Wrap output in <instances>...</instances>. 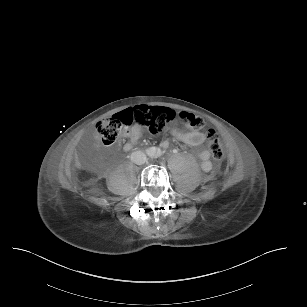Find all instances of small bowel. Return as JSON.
I'll list each match as a JSON object with an SVG mask.
<instances>
[{
    "label": "small bowel",
    "mask_w": 307,
    "mask_h": 307,
    "mask_svg": "<svg viewBox=\"0 0 307 307\" xmlns=\"http://www.w3.org/2000/svg\"><path fill=\"white\" fill-rule=\"evenodd\" d=\"M171 134L180 142L191 146H198L202 144L205 140V135L197 130L192 131H183V130H171ZM127 135L130 137V141L125 145L126 150H130L138 141L141 136V130L139 127H132L127 132ZM169 146V142H163V147L167 148ZM197 157L202 161V168L204 170H208L210 167V153L208 150H202L197 153Z\"/></svg>",
    "instance_id": "1"
}]
</instances>
